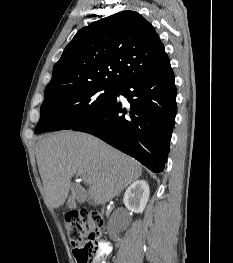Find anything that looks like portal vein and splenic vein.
<instances>
[{
	"instance_id": "portal-vein-and-splenic-vein-1",
	"label": "portal vein and splenic vein",
	"mask_w": 233,
	"mask_h": 263,
	"mask_svg": "<svg viewBox=\"0 0 233 263\" xmlns=\"http://www.w3.org/2000/svg\"><path fill=\"white\" fill-rule=\"evenodd\" d=\"M83 180H84L85 182H87V183L90 182V180H89L88 178H86L85 176H83Z\"/></svg>"
}]
</instances>
